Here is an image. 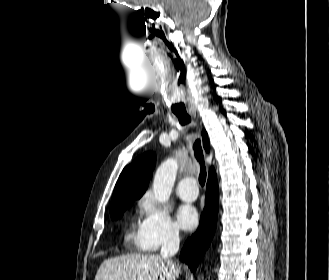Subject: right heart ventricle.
<instances>
[{"mask_svg":"<svg viewBox=\"0 0 329 280\" xmlns=\"http://www.w3.org/2000/svg\"><path fill=\"white\" fill-rule=\"evenodd\" d=\"M126 241L129 245H132L138 249L146 250L145 244L142 240L140 233V226L132 225L126 235Z\"/></svg>","mask_w":329,"mask_h":280,"instance_id":"obj_1","label":"right heart ventricle"}]
</instances>
